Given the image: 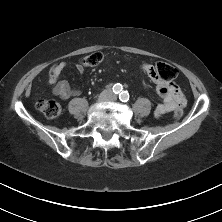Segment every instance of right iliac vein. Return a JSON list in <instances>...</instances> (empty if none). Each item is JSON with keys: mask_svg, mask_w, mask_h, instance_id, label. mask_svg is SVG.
I'll use <instances>...</instances> for the list:
<instances>
[{"mask_svg": "<svg viewBox=\"0 0 222 222\" xmlns=\"http://www.w3.org/2000/svg\"><path fill=\"white\" fill-rule=\"evenodd\" d=\"M106 98H107V94H106V93H103V94H101V95L99 96L98 101H99V102H104V101L106 100Z\"/></svg>", "mask_w": 222, "mask_h": 222, "instance_id": "right-iliac-vein-1", "label": "right iliac vein"}]
</instances>
